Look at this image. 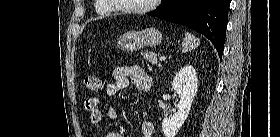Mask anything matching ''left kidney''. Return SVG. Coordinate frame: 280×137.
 I'll return each mask as SVG.
<instances>
[{"mask_svg":"<svg viewBox=\"0 0 280 137\" xmlns=\"http://www.w3.org/2000/svg\"><path fill=\"white\" fill-rule=\"evenodd\" d=\"M198 78L196 70L186 65L176 73L172 88L179 94L178 111L171 118L165 117L162 121V130L165 137H175L188 117L193 99L197 92Z\"/></svg>","mask_w":280,"mask_h":137,"instance_id":"obj_1","label":"left kidney"}]
</instances>
